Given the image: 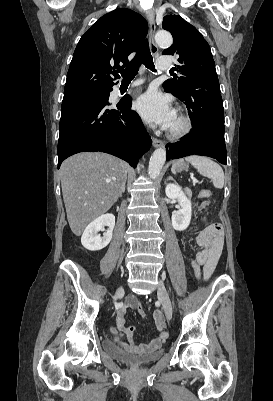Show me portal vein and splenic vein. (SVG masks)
Returning a JSON list of instances; mask_svg holds the SVG:
<instances>
[{
    "instance_id": "1",
    "label": "portal vein and splenic vein",
    "mask_w": 273,
    "mask_h": 401,
    "mask_svg": "<svg viewBox=\"0 0 273 401\" xmlns=\"http://www.w3.org/2000/svg\"><path fill=\"white\" fill-rule=\"evenodd\" d=\"M191 174H192V172H191ZM192 180H193V184H196V182H198L197 178H192Z\"/></svg>"
}]
</instances>
